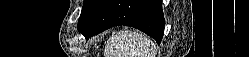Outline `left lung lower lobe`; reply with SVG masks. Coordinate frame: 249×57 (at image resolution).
Listing matches in <instances>:
<instances>
[{"mask_svg": "<svg viewBox=\"0 0 249 57\" xmlns=\"http://www.w3.org/2000/svg\"><path fill=\"white\" fill-rule=\"evenodd\" d=\"M117 25L139 29L159 44L164 33L161 0H107L78 30L88 38Z\"/></svg>", "mask_w": 249, "mask_h": 57, "instance_id": "1", "label": "left lung lower lobe"}]
</instances>
